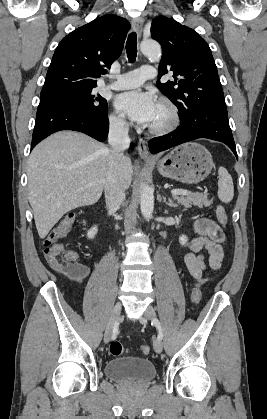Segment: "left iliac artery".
Masks as SVG:
<instances>
[{"instance_id": "obj_1", "label": "left iliac artery", "mask_w": 267, "mask_h": 419, "mask_svg": "<svg viewBox=\"0 0 267 419\" xmlns=\"http://www.w3.org/2000/svg\"><path fill=\"white\" fill-rule=\"evenodd\" d=\"M152 324L155 325L156 328L158 329V339L159 340H162V338H163V332H162V328H161V324H160L159 320L156 319V318L153 319L152 320Z\"/></svg>"}]
</instances>
